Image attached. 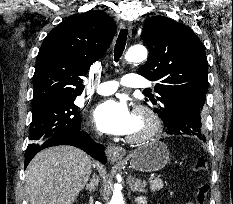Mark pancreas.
<instances>
[{
	"mask_svg": "<svg viewBox=\"0 0 233 204\" xmlns=\"http://www.w3.org/2000/svg\"><path fill=\"white\" fill-rule=\"evenodd\" d=\"M163 181L162 180H151L150 181V189L151 191H160L163 188Z\"/></svg>",
	"mask_w": 233,
	"mask_h": 204,
	"instance_id": "pancreas-1",
	"label": "pancreas"
}]
</instances>
